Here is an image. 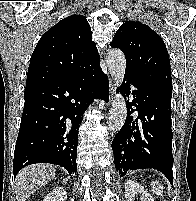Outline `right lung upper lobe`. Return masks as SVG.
<instances>
[{"mask_svg": "<svg viewBox=\"0 0 196 201\" xmlns=\"http://www.w3.org/2000/svg\"><path fill=\"white\" fill-rule=\"evenodd\" d=\"M99 59L86 18L68 16L40 38L30 59L26 89L73 77Z\"/></svg>", "mask_w": 196, "mask_h": 201, "instance_id": "1", "label": "right lung upper lobe"}]
</instances>
